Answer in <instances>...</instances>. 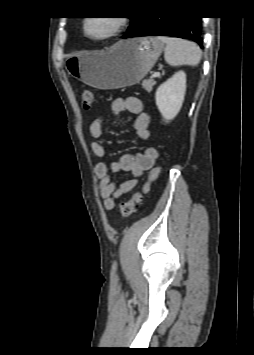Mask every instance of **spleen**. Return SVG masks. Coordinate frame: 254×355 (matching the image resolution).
Returning a JSON list of instances; mask_svg holds the SVG:
<instances>
[{
	"label": "spleen",
	"instance_id": "spleen-1",
	"mask_svg": "<svg viewBox=\"0 0 254 355\" xmlns=\"http://www.w3.org/2000/svg\"><path fill=\"white\" fill-rule=\"evenodd\" d=\"M159 40L166 44L164 59L171 66H197L202 52L196 43L179 38L159 36Z\"/></svg>",
	"mask_w": 254,
	"mask_h": 355
}]
</instances>
